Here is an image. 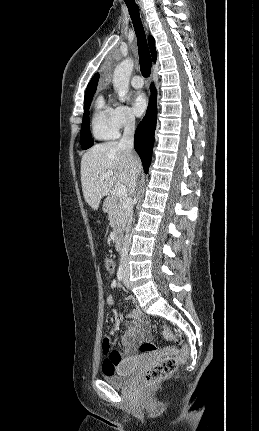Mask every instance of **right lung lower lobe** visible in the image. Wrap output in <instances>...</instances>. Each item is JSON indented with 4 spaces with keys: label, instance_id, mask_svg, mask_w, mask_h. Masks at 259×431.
<instances>
[{
    "label": "right lung lower lobe",
    "instance_id": "98d812e1",
    "mask_svg": "<svg viewBox=\"0 0 259 431\" xmlns=\"http://www.w3.org/2000/svg\"><path fill=\"white\" fill-rule=\"evenodd\" d=\"M151 99L145 117L139 123L135 136L134 148L141 158L145 173L148 172L152 157V148L154 144V132L156 128V89L152 85Z\"/></svg>",
    "mask_w": 259,
    "mask_h": 431
}]
</instances>
